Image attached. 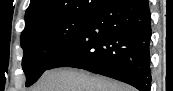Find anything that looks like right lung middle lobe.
<instances>
[{"label": "right lung middle lobe", "mask_w": 173, "mask_h": 91, "mask_svg": "<svg viewBox=\"0 0 173 91\" xmlns=\"http://www.w3.org/2000/svg\"><path fill=\"white\" fill-rule=\"evenodd\" d=\"M93 15L94 11L51 18L23 30L22 67L26 86L37 81L52 61L82 33Z\"/></svg>", "instance_id": "dd1d6c3e"}]
</instances>
